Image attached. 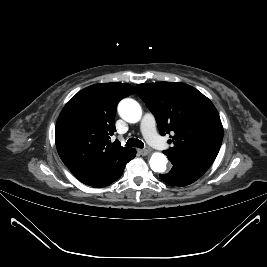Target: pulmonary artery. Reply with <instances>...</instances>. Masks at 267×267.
<instances>
[{"instance_id":"1","label":"pulmonary artery","mask_w":267,"mask_h":267,"mask_svg":"<svg viewBox=\"0 0 267 267\" xmlns=\"http://www.w3.org/2000/svg\"><path fill=\"white\" fill-rule=\"evenodd\" d=\"M140 129L146 140L157 149L166 148L165 141L159 136L156 129V121L151 113L144 114Z\"/></svg>"}]
</instances>
